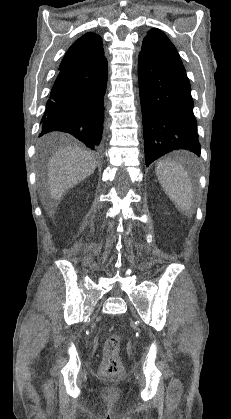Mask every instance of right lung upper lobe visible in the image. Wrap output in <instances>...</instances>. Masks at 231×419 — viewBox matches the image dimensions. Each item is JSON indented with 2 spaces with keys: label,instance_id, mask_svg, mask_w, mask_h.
<instances>
[{
  "label": "right lung upper lobe",
  "instance_id": "1",
  "mask_svg": "<svg viewBox=\"0 0 231 419\" xmlns=\"http://www.w3.org/2000/svg\"><path fill=\"white\" fill-rule=\"evenodd\" d=\"M101 37L86 33L77 39L66 52L59 69L98 63L105 58Z\"/></svg>",
  "mask_w": 231,
  "mask_h": 419
}]
</instances>
